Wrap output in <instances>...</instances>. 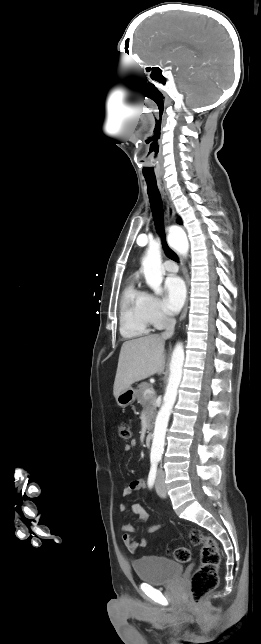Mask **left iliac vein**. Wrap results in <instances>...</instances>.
<instances>
[{
    "instance_id": "4c4485c4",
    "label": "left iliac vein",
    "mask_w": 261,
    "mask_h": 644,
    "mask_svg": "<svg viewBox=\"0 0 261 644\" xmlns=\"http://www.w3.org/2000/svg\"><path fill=\"white\" fill-rule=\"evenodd\" d=\"M155 489H156L157 494L160 497H166V488H165V484H164V477H163V474H162L161 470H159L158 474H157V479H156V483H155Z\"/></svg>"
}]
</instances>
